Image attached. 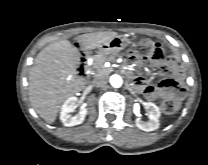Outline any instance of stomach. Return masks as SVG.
I'll use <instances>...</instances> for the list:
<instances>
[{
    "label": "stomach",
    "mask_w": 208,
    "mask_h": 165,
    "mask_svg": "<svg viewBox=\"0 0 208 165\" xmlns=\"http://www.w3.org/2000/svg\"><path fill=\"white\" fill-rule=\"evenodd\" d=\"M130 43L129 39L123 35H117L111 40L103 43L99 50L105 54H117Z\"/></svg>",
    "instance_id": "stomach-1"
}]
</instances>
